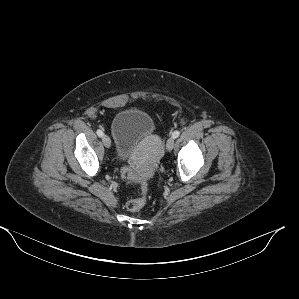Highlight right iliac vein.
Listing matches in <instances>:
<instances>
[{
  "mask_svg": "<svg viewBox=\"0 0 299 299\" xmlns=\"http://www.w3.org/2000/svg\"><path fill=\"white\" fill-rule=\"evenodd\" d=\"M102 141H103V144L106 148H110L111 147V140L110 138L107 136V135H104L102 137Z\"/></svg>",
  "mask_w": 299,
  "mask_h": 299,
  "instance_id": "63e3f726",
  "label": "right iliac vein"
}]
</instances>
